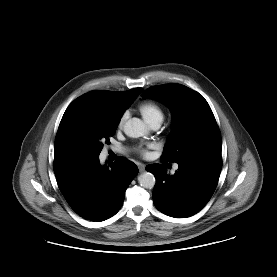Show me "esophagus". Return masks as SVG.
<instances>
[{"label":"esophagus","mask_w":277,"mask_h":277,"mask_svg":"<svg viewBox=\"0 0 277 277\" xmlns=\"http://www.w3.org/2000/svg\"><path fill=\"white\" fill-rule=\"evenodd\" d=\"M138 168H139L140 172H144L145 171V165L144 164H139Z\"/></svg>","instance_id":"34e87169"}]
</instances>
